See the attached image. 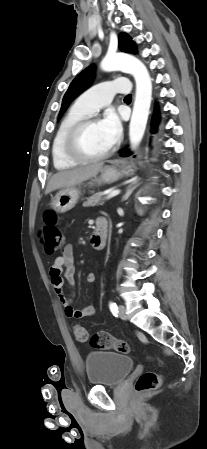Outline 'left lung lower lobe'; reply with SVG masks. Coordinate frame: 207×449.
<instances>
[{"label":"left lung lower lobe","mask_w":207,"mask_h":449,"mask_svg":"<svg viewBox=\"0 0 207 449\" xmlns=\"http://www.w3.org/2000/svg\"><path fill=\"white\" fill-rule=\"evenodd\" d=\"M158 124H159V114H158V110L156 109V112H155V114H154V116H153V119H152V122H151V126H152L151 132H152L153 134L157 132V130H158V129H157ZM131 154H132V152H130L129 150L122 149V150H121L120 156H121V157H128V156H130Z\"/></svg>","instance_id":"1"}]
</instances>
